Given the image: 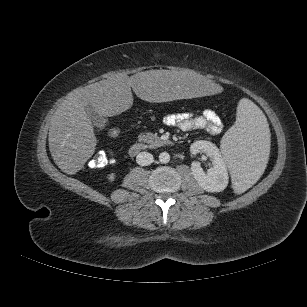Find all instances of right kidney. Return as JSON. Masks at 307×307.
<instances>
[{
    "mask_svg": "<svg viewBox=\"0 0 307 307\" xmlns=\"http://www.w3.org/2000/svg\"><path fill=\"white\" fill-rule=\"evenodd\" d=\"M115 177H116V175L114 173H111V174L108 175V180L112 182V181H114Z\"/></svg>",
    "mask_w": 307,
    "mask_h": 307,
    "instance_id": "right-kidney-1",
    "label": "right kidney"
}]
</instances>
